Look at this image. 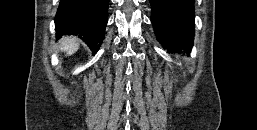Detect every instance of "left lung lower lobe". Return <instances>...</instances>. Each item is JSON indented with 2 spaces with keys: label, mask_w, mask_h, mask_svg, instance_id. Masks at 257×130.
Segmentation results:
<instances>
[{
  "label": "left lung lower lobe",
  "mask_w": 257,
  "mask_h": 130,
  "mask_svg": "<svg viewBox=\"0 0 257 130\" xmlns=\"http://www.w3.org/2000/svg\"><path fill=\"white\" fill-rule=\"evenodd\" d=\"M151 21L164 48L190 50L194 39V0H149Z\"/></svg>",
  "instance_id": "left-lung-lower-lobe-1"
}]
</instances>
